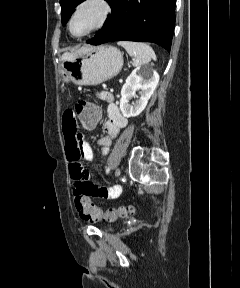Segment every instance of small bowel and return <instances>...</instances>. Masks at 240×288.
<instances>
[{
  "instance_id": "obj_1",
  "label": "small bowel",
  "mask_w": 240,
  "mask_h": 288,
  "mask_svg": "<svg viewBox=\"0 0 240 288\" xmlns=\"http://www.w3.org/2000/svg\"><path fill=\"white\" fill-rule=\"evenodd\" d=\"M100 98L105 101L107 121L104 129L106 135L100 138L97 143L106 154L113 140L119 132L128 124L127 118L120 112L114 96L109 92H101ZM62 130L65 140V149L68 159L70 177L75 190H78L88 196L115 199L119 197L122 188L119 185L104 187L95 184L90 173L83 168L81 158L93 162L94 154L90 144L82 139L77 129L76 114L68 109L63 113Z\"/></svg>"
}]
</instances>
